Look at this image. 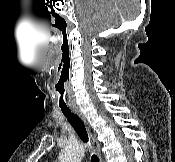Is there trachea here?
<instances>
[{
	"instance_id": "1",
	"label": "trachea",
	"mask_w": 175,
	"mask_h": 162,
	"mask_svg": "<svg viewBox=\"0 0 175 162\" xmlns=\"http://www.w3.org/2000/svg\"><path fill=\"white\" fill-rule=\"evenodd\" d=\"M61 111L67 118L68 122L72 125V127L74 128L80 139L84 143H88L89 142L88 133L82 120L76 114L72 113L70 109L67 107H61ZM91 162H99L97 155L93 154L91 156Z\"/></svg>"
}]
</instances>
